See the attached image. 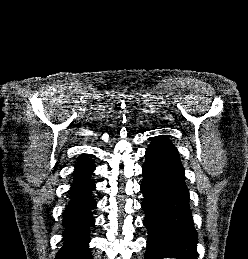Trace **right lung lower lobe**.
Masks as SVG:
<instances>
[{
  "label": "right lung lower lobe",
  "mask_w": 248,
  "mask_h": 259,
  "mask_svg": "<svg viewBox=\"0 0 248 259\" xmlns=\"http://www.w3.org/2000/svg\"><path fill=\"white\" fill-rule=\"evenodd\" d=\"M95 165L87 157L77 162L74 181L70 189V201L63 214L64 244L56 259H92L89 243V228L94 225L91 209L96 201L91 197L95 189L90 179Z\"/></svg>",
  "instance_id": "obj_1"
}]
</instances>
